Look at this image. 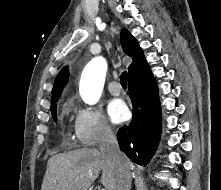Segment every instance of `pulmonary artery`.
<instances>
[{
  "label": "pulmonary artery",
  "instance_id": "obj_1",
  "mask_svg": "<svg viewBox=\"0 0 221 190\" xmlns=\"http://www.w3.org/2000/svg\"><path fill=\"white\" fill-rule=\"evenodd\" d=\"M108 90L112 95H120L121 93V86L118 82L113 81L108 85Z\"/></svg>",
  "mask_w": 221,
  "mask_h": 190
}]
</instances>
